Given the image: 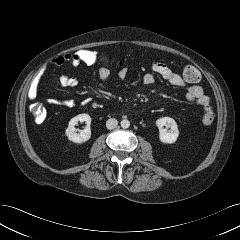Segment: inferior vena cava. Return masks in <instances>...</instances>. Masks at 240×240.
I'll return each instance as SVG.
<instances>
[{"instance_id":"obj_1","label":"inferior vena cava","mask_w":240,"mask_h":240,"mask_svg":"<svg viewBox=\"0 0 240 240\" xmlns=\"http://www.w3.org/2000/svg\"><path fill=\"white\" fill-rule=\"evenodd\" d=\"M117 125H118V121L114 118L108 119L107 122H106V127L109 130H112V129L116 128Z\"/></svg>"}]
</instances>
